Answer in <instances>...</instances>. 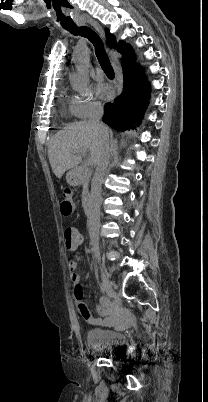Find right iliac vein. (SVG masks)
I'll return each mask as SVG.
<instances>
[{
    "label": "right iliac vein",
    "instance_id": "right-iliac-vein-1",
    "mask_svg": "<svg viewBox=\"0 0 208 402\" xmlns=\"http://www.w3.org/2000/svg\"><path fill=\"white\" fill-rule=\"evenodd\" d=\"M98 263L100 265V270L102 273V280H103V284L107 289V294L110 298H112L114 296V290H113V283L109 280L108 276L106 275L105 272V267L104 265L101 263L100 260H98Z\"/></svg>",
    "mask_w": 208,
    "mask_h": 402
}]
</instances>
